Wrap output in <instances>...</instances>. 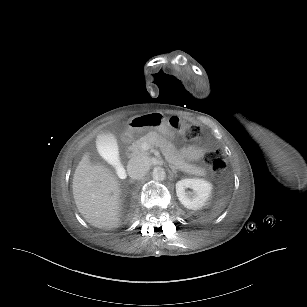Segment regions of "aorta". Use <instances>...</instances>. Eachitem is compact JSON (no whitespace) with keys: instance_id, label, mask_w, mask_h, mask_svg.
Segmentation results:
<instances>
[{"instance_id":"obj_1","label":"aorta","mask_w":307,"mask_h":307,"mask_svg":"<svg viewBox=\"0 0 307 307\" xmlns=\"http://www.w3.org/2000/svg\"><path fill=\"white\" fill-rule=\"evenodd\" d=\"M152 176H153V180H155V181H157V182H160V181L165 180V178H166V172H165L164 169L161 168V167H155V168L153 169Z\"/></svg>"}]
</instances>
